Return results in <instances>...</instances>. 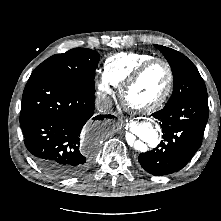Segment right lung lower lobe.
<instances>
[{"mask_svg": "<svg viewBox=\"0 0 221 221\" xmlns=\"http://www.w3.org/2000/svg\"><path fill=\"white\" fill-rule=\"evenodd\" d=\"M94 101V93L47 75L28 80L22 97L20 125L25 146L46 172L68 178L81 174L90 165L93 151L82 148L81 130L86 123L92 125L95 136L106 119L113 117L96 115Z\"/></svg>", "mask_w": 221, "mask_h": 221, "instance_id": "obj_1", "label": "right lung lower lobe"}]
</instances>
